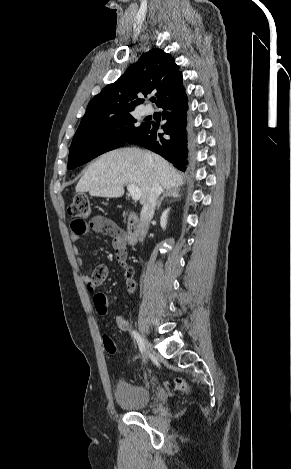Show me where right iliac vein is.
I'll list each match as a JSON object with an SVG mask.
<instances>
[{
    "instance_id": "obj_1",
    "label": "right iliac vein",
    "mask_w": 291,
    "mask_h": 469,
    "mask_svg": "<svg viewBox=\"0 0 291 469\" xmlns=\"http://www.w3.org/2000/svg\"><path fill=\"white\" fill-rule=\"evenodd\" d=\"M142 340H143V343H144V362H147L148 360V357L151 353V347H150V344L147 340V338L145 337L144 334H142Z\"/></svg>"
}]
</instances>
